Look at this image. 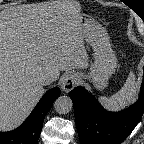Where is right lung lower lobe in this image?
Returning a JSON list of instances; mask_svg holds the SVG:
<instances>
[{
    "mask_svg": "<svg viewBox=\"0 0 144 144\" xmlns=\"http://www.w3.org/2000/svg\"><path fill=\"white\" fill-rule=\"evenodd\" d=\"M59 96V88L49 90L20 127L10 132H0V144H37L43 120Z\"/></svg>",
    "mask_w": 144,
    "mask_h": 144,
    "instance_id": "obj_1",
    "label": "right lung lower lobe"
}]
</instances>
